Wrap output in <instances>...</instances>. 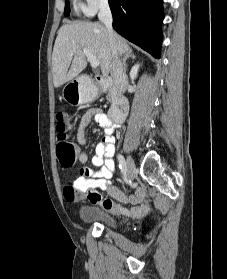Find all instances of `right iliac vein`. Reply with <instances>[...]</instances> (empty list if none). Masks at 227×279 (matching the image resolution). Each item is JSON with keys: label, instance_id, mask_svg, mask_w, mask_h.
<instances>
[{"label": "right iliac vein", "instance_id": "1", "mask_svg": "<svg viewBox=\"0 0 227 279\" xmlns=\"http://www.w3.org/2000/svg\"><path fill=\"white\" fill-rule=\"evenodd\" d=\"M126 168H127V175L131 179L134 177L136 173V167L133 159L130 156L126 158Z\"/></svg>", "mask_w": 227, "mask_h": 279}]
</instances>
